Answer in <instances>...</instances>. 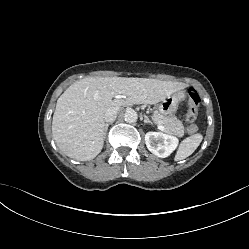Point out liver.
<instances>
[{
  "mask_svg": "<svg viewBox=\"0 0 249 249\" xmlns=\"http://www.w3.org/2000/svg\"><path fill=\"white\" fill-rule=\"evenodd\" d=\"M184 87L183 83L149 78L90 77L71 84L58 98L52 136L68 157L95 158L104 143L105 113L113 107L156 104ZM124 95V99H115Z\"/></svg>",
  "mask_w": 249,
  "mask_h": 249,
  "instance_id": "liver-1",
  "label": "liver"
}]
</instances>
